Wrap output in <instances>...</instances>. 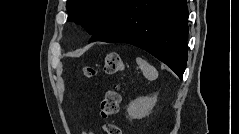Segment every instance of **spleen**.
Here are the masks:
<instances>
[{
    "instance_id": "3e777b00",
    "label": "spleen",
    "mask_w": 239,
    "mask_h": 134,
    "mask_svg": "<svg viewBox=\"0 0 239 134\" xmlns=\"http://www.w3.org/2000/svg\"><path fill=\"white\" fill-rule=\"evenodd\" d=\"M136 62L139 66V68L142 70L143 75L148 80H155L158 77L157 70L150 65L146 60L137 57Z\"/></svg>"
}]
</instances>
